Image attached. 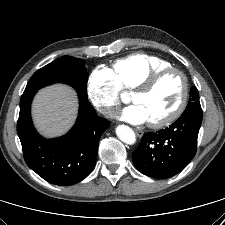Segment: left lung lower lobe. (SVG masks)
Returning <instances> with one entry per match:
<instances>
[{
  "label": "left lung lower lobe",
  "mask_w": 225,
  "mask_h": 225,
  "mask_svg": "<svg viewBox=\"0 0 225 225\" xmlns=\"http://www.w3.org/2000/svg\"><path fill=\"white\" fill-rule=\"evenodd\" d=\"M202 109L184 111L170 127L144 134L132 153L135 167L155 179H165L182 171L196 153Z\"/></svg>",
  "instance_id": "1"
}]
</instances>
